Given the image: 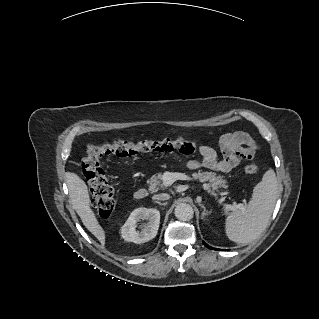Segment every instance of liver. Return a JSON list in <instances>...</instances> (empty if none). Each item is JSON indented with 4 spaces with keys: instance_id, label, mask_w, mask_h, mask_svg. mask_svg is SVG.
<instances>
[{
    "instance_id": "obj_1",
    "label": "liver",
    "mask_w": 319,
    "mask_h": 319,
    "mask_svg": "<svg viewBox=\"0 0 319 319\" xmlns=\"http://www.w3.org/2000/svg\"><path fill=\"white\" fill-rule=\"evenodd\" d=\"M67 184L72 205L82 223L104 245L105 231L91 208L90 195L86 183L78 175L68 173Z\"/></svg>"
}]
</instances>
